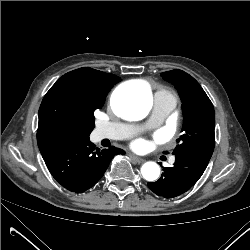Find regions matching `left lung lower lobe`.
I'll list each match as a JSON object with an SVG mask.
<instances>
[{
    "instance_id": "left-lung-lower-lobe-1",
    "label": "left lung lower lobe",
    "mask_w": 250,
    "mask_h": 250,
    "mask_svg": "<svg viewBox=\"0 0 250 250\" xmlns=\"http://www.w3.org/2000/svg\"><path fill=\"white\" fill-rule=\"evenodd\" d=\"M214 146L196 147L176 154L173 167L163 168L161 178L148 187L158 196L173 198L188 191L202 176Z\"/></svg>"
}]
</instances>
